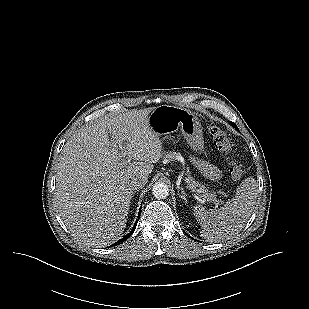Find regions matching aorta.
I'll use <instances>...</instances> for the list:
<instances>
[{
  "label": "aorta",
  "mask_w": 309,
  "mask_h": 309,
  "mask_svg": "<svg viewBox=\"0 0 309 309\" xmlns=\"http://www.w3.org/2000/svg\"><path fill=\"white\" fill-rule=\"evenodd\" d=\"M152 193L157 199H165L169 194V188L165 183H155L152 188Z\"/></svg>",
  "instance_id": "aorta-1"
}]
</instances>
